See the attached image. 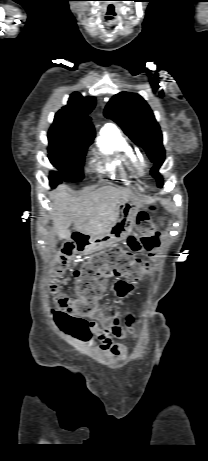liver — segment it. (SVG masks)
Returning <instances> with one entry per match:
<instances>
[{
  "instance_id": "obj_1",
  "label": "liver",
  "mask_w": 208,
  "mask_h": 461,
  "mask_svg": "<svg viewBox=\"0 0 208 461\" xmlns=\"http://www.w3.org/2000/svg\"><path fill=\"white\" fill-rule=\"evenodd\" d=\"M131 197L128 191L111 186L76 197L67 186L60 185L51 194L55 233L60 239L69 240V227L73 223L77 232L90 237L98 236L108 230L115 220L117 204Z\"/></svg>"
}]
</instances>
